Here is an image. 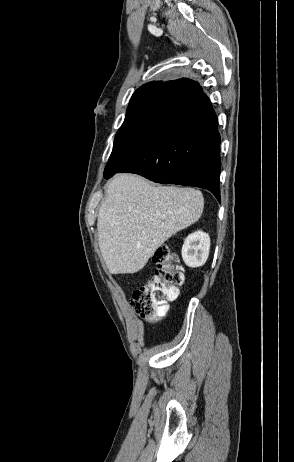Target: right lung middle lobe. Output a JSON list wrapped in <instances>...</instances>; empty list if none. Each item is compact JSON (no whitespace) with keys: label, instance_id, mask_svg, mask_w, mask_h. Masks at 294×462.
Here are the masks:
<instances>
[{"label":"right lung middle lobe","instance_id":"1","mask_svg":"<svg viewBox=\"0 0 294 462\" xmlns=\"http://www.w3.org/2000/svg\"><path fill=\"white\" fill-rule=\"evenodd\" d=\"M188 104L178 95H168L127 109L118 130L104 176L116 173L148 142L161 134Z\"/></svg>","mask_w":294,"mask_h":462}]
</instances>
